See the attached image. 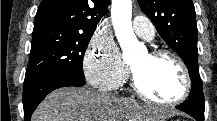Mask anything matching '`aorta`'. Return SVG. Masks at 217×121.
Returning a JSON list of instances; mask_svg holds the SVG:
<instances>
[{
    "mask_svg": "<svg viewBox=\"0 0 217 121\" xmlns=\"http://www.w3.org/2000/svg\"><path fill=\"white\" fill-rule=\"evenodd\" d=\"M132 0H113L111 18L125 61L132 59L141 48L132 28Z\"/></svg>",
    "mask_w": 217,
    "mask_h": 121,
    "instance_id": "762f6f07",
    "label": "aorta"
}]
</instances>
